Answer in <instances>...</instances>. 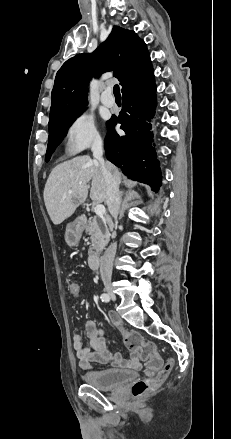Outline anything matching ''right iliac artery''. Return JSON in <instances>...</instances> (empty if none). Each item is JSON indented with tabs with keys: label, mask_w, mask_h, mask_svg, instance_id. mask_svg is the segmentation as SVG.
Returning a JSON list of instances; mask_svg holds the SVG:
<instances>
[{
	"label": "right iliac artery",
	"mask_w": 231,
	"mask_h": 439,
	"mask_svg": "<svg viewBox=\"0 0 231 439\" xmlns=\"http://www.w3.org/2000/svg\"><path fill=\"white\" fill-rule=\"evenodd\" d=\"M100 298H101L102 302H109L110 301V297L106 293L101 294Z\"/></svg>",
	"instance_id": "right-iliac-artery-1"
}]
</instances>
